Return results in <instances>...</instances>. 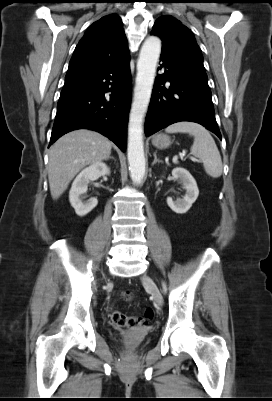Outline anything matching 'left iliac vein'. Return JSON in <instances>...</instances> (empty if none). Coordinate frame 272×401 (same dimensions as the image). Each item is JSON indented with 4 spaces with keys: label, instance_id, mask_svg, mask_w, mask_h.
Masks as SVG:
<instances>
[{
    "label": "left iliac vein",
    "instance_id": "left-iliac-vein-1",
    "mask_svg": "<svg viewBox=\"0 0 272 401\" xmlns=\"http://www.w3.org/2000/svg\"><path fill=\"white\" fill-rule=\"evenodd\" d=\"M142 280H143L144 285L151 292L157 305L162 306L163 305V296H162L160 290L158 289L157 285L155 284V282L147 275H145L142 278Z\"/></svg>",
    "mask_w": 272,
    "mask_h": 401
}]
</instances>
